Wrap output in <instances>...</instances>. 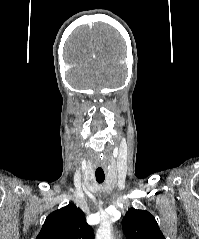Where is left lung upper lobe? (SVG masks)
<instances>
[{
	"mask_svg": "<svg viewBox=\"0 0 199 239\" xmlns=\"http://www.w3.org/2000/svg\"><path fill=\"white\" fill-rule=\"evenodd\" d=\"M122 227L127 239H165L153 215L144 210L129 209Z\"/></svg>",
	"mask_w": 199,
	"mask_h": 239,
	"instance_id": "5c2ea615",
	"label": "left lung upper lobe"
}]
</instances>
